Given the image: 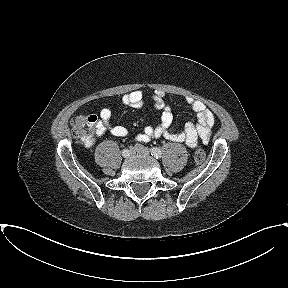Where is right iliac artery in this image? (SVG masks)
Masks as SVG:
<instances>
[{
	"label": "right iliac artery",
	"instance_id": "obj_1",
	"mask_svg": "<svg viewBox=\"0 0 288 288\" xmlns=\"http://www.w3.org/2000/svg\"><path fill=\"white\" fill-rule=\"evenodd\" d=\"M121 155L122 156H127L128 155V150L127 149H122L121 150Z\"/></svg>",
	"mask_w": 288,
	"mask_h": 288
}]
</instances>
